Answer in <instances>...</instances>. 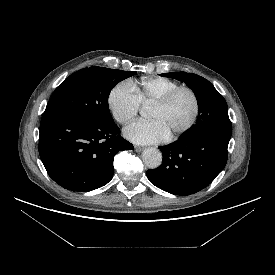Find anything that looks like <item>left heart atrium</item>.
<instances>
[{"instance_id":"obj_1","label":"left heart atrium","mask_w":275,"mask_h":275,"mask_svg":"<svg viewBox=\"0 0 275 275\" xmlns=\"http://www.w3.org/2000/svg\"><path fill=\"white\" fill-rule=\"evenodd\" d=\"M124 136L137 144H152L166 140L170 134L158 120H137L124 129Z\"/></svg>"}]
</instances>
